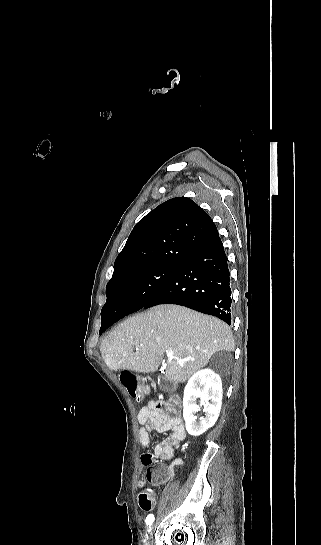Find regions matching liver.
I'll return each instance as SVG.
<instances>
[{"label": "liver", "instance_id": "liver-1", "mask_svg": "<svg viewBox=\"0 0 321 545\" xmlns=\"http://www.w3.org/2000/svg\"><path fill=\"white\" fill-rule=\"evenodd\" d=\"M136 347V353L133 349ZM230 327L209 315L179 305H157L120 323L103 339L101 355L110 371H157L166 351H173L164 373L169 381L184 383L206 367L218 351L232 353ZM177 359H194L178 363Z\"/></svg>", "mask_w": 321, "mask_h": 545}]
</instances>
